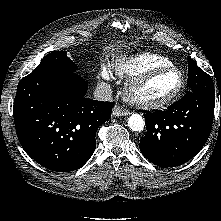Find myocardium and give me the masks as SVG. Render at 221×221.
I'll list each match as a JSON object with an SVG mask.
<instances>
[{"mask_svg": "<svg viewBox=\"0 0 221 221\" xmlns=\"http://www.w3.org/2000/svg\"><path fill=\"white\" fill-rule=\"evenodd\" d=\"M169 71H175L180 76V82L177 88L172 93H170L165 97L155 98V99H146L136 96V90L140 86L145 84L153 77ZM184 86H185V75L180 68L174 65L166 67H158L130 78L124 87V96L126 101L134 106L144 109L160 108L173 102L181 94V92L184 89Z\"/></svg>", "mask_w": 221, "mask_h": 221, "instance_id": "obj_1", "label": "myocardium"}]
</instances>
